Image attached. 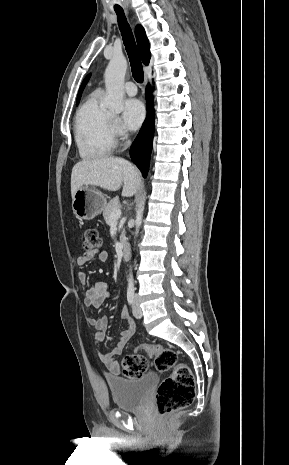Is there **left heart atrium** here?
<instances>
[{"label":"left heart atrium","mask_w":289,"mask_h":465,"mask_svg":"<svg viewBox=\"0 0 289 465\" xmlns=\"http://www.w3.org/2000/svg\"><path fill=\"white\" fill-rule=\"evenodd\" d=\"M145 117V109L138 99H128L123 106V119L127 128L136 130L140 127Z\"/></svg>","instance_id":"obj_1"}]
</instances>
